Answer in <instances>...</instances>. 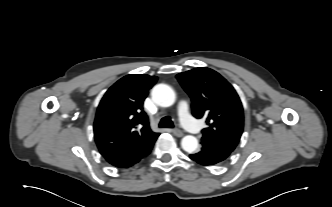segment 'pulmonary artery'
<instances>
[{
    "label": "pulmonary artery",
    "mask_w": 332,
    "mask_h": 207,
    "mask_svg": "<svg viewBox=\"0 0 332 207\" xmlns=\"http://www.w3.org/2000/svg\"><path fill=\"white\" fill-rule=\"evenodd\" d=\"M177 110L182 125L188 128L192 132H197L198 127L190 119L188 102L184 99L180 100L178 103Z\"/></svg>",
    "instance_id": "1"
}]
</instances>
